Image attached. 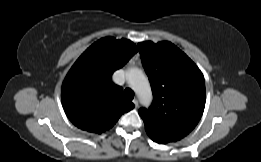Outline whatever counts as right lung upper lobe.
Listing matches in <instances>:
<instances>
[{"mask_svg":"<svg viewBox=\"0 0 261 162\" xmlns=\"http://www.w3.org/2000/svg\"><path fill=\"white\" fill-rule=\"evenodd\" d=\"M138 51L127 39L105 37L92 44L74 63L65 77L62 105L69 120L78 128L102 133L134 108L122 97V89L111 76Z\"/></svg>","mask_w":261,"mask_h":162,"instance_id":"cb5924a9","label":"right lung upper lobe"}]
</instances>
